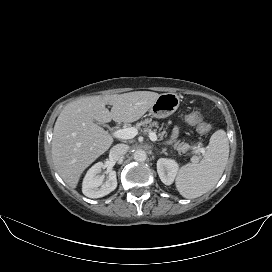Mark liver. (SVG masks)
<instances>
[{
	"label": "liver",
	"mask_w": 272,
	"mask_h": 272,
	"mask_svg": "<svg viewBox=\"0 0 272 272\" xmlns=\"http://www.w3.org/2000/svg\"><path fill=\"white\" fill-rule=\"evenodd\" d=\"M158 97L156 92L134 91L68 103L56 120L52 138V157L61 178L76 188L83 171L112 145V137L94 121L135 122ZM106 104L112 106L111 111Z\"/></svg>",
	"instance_id": "liver-1"
}]
</instances>
